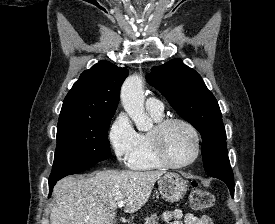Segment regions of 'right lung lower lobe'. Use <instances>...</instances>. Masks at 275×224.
I'll list each match as a JSON object with an SVG mask.
<instances>
[{"label": "right lung lower lobe", "mask_w": 275, "mask_h": 224, "mask_svg": "<svg viewBox=\"0 0 275 224\" xmlns=\"http://www.w3.org/2000/svg\"><path fill=\"white\" fill-rule=\"evenodd\" d=\"M84 170H86V169H84ZM84 170L77 171L76 173H80V172H82V171H84ZM76 173H74V174H76ZM60 179H61V178H60ZM60 179L49 180V192H50V194H51V192H52V189H53L54 185H55L56 182H57L58 180H60Z\"/></svg>", "instance_id": "98d812e1"}]
</instances>
